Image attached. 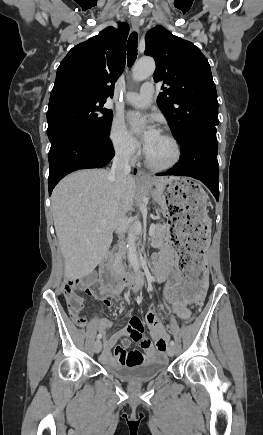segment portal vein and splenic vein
<instances>
[{"label":"portal vein and splenic vein","mask_w":263,"mask_h":435,"mask_svg":"<svg viewBox=\"0 0 263 435\" xmlns=\"http://www.w3.org/2000/svg\"><path fill=\"white\" fill-rule=\"evenodd\" d=\"M105 222H106L105 220H102V221H101V224H103V223H105ZM154 230H155V224L152 223V224L150 225V228H149V235H150V236L153 235Z\"/></svg>","instance_id":"18ae733b"}]
</instances>
